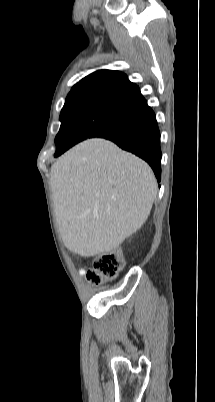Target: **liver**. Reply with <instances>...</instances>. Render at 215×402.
<instances>
[{
  "label": "liver",
  "mask_w": 215,
  "mask_h": 402,
  "mask_svg": "<svg viewBox=\"0 0 215 402\" xmlns=\"http://www.w3.org/2000/svg\"><path fill=\"white\" fill-rule=\"evenodd\" d=\"M50 186L62 240L83 257L111 252L139 230L157 194L150 166L101 138L62 155Z\"/></svg>",
  "instance_id": "6515ba94"
}]
</instances>
